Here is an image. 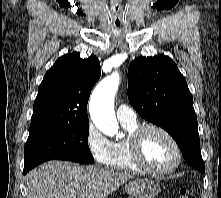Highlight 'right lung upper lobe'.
I'll return each instance as SVG.
<instances>
[{
	"instance_id": "obj_1",
	"label": "right lung upper lobe",
	"mask_w": 221,
	"mask_h": 198,
	"mask_svg": "<svg viewBox=\"0 0 221 198\" xmlns=\"http://www.w3.org/2000/svg\"><path fill=\"white\" fill-rule=\"evenodd\" d=\"M100 75V62L94 55L82 59L74 52L58 58L38 88L31 123L89 122L87 102Z\"/></svg>"
}]
</instances>
